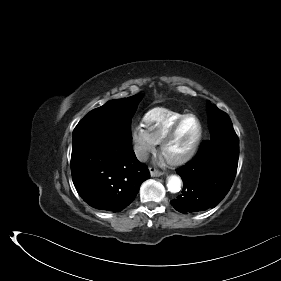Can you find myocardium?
I'll use <instances>...</instances> for the list:
<instances>
[{
	"label": "myocardium",
	"instance_id": "myocardium-1",
	"mask_svg": "<svg viewBox=\"0 0 281 281\" xmlns=\"http://www.w3.org/2000/svg\"><path fill=\"white\" fill-rule=\"evenodd\" d=\"M189 117H194L198 122L199 130H198V135H197L196 139L194 140L192 145L188 149H186L184 152H182L179 155L174 156V157H167L165 155V150H166L168 144L174 139V137L178 133L183 122ZM202 138H203V124L201 122V119L198 117V115H196L194 113H187V114L183 115L181 118H179L172 125V127L168 130V132L165 134V136L162 138V140L160 141V152L167 159V161L170 164L182 165V164L186 163L187 161H189L195 155V153L197 152V150L201 144Z\"/></svg>",
	"mask_w": 281,
	"mask_h": 281
}]
</instances>
